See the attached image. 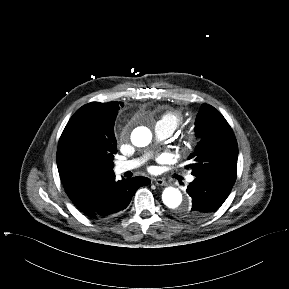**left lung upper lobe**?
Segmentation results:
<instances>
[{"mask_svg": "<svg viewBox=\"0 0 289 289\" xmlns=\"http://www.w3.org/2000/svg\"><path fill=\"white\" fill-rule=\"evenodd\" d=\"M195 131L200 142L188 158L193 161L187 166L192 175L234 184L238 146L228 122L218 110L204 103L197 116Z\"/></svg>", "mask_w": 289, "mask_h": 289, "instance_id": "1", "label": "left lung upper lobe"}]
</instances>
